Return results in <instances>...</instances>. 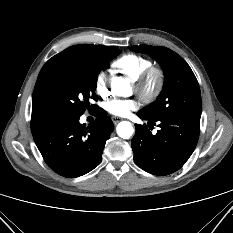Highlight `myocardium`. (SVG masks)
Segmentation results:
<instances>
[{
    "label": "myocardium",
    "instance_id": "1",
    "mask_svg": "<svg viewBox=\"0 0 233 233\" xmlns=\"http://www.w3.org/2000/svg\"><path fill=\"white\" fill-rule=\"evenodd\" d=\"M132 83L140 100L148 104L160 95L165 83V73L160 66L151 65L132 80Z\"/></svg>",
    "mask_w": 233,
    "mask_h": 233
}]
</instances>
